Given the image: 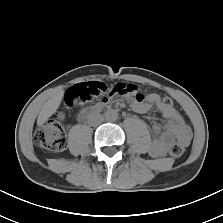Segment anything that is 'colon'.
Listing matches in <instances>:
<instances>
[{
	"mask_svg": "<svg viewBox=\"0 0 223 223\" xmlns=\"http://www.w3.org/2000/svg\"><path fill=\"white\" fill-rule=\"evenodd\" d=\"M106 91L105 84L97 81H90L79 83L71 86L65 96L66 103L72 105L75 103H83L92 100L104 94ZM110 95L112 97L129 96L138 100L143 99V94L137 84L121 82L114 85ZM165 107H172L174 105V98L172 96H165L163 99ZM64 114L58 112L46 124L39 127L34 134L35 144L43 149L53 152L62 151L67 145V137L60 120L63 119ZM171 156L175 158L181 157L185 148L181 142H174L169 147Z\"/></svg>",
	"mask_w": 223,
	"mask_h": 223,
	"instance_id": "1",
	"label": "colon"
}]
</instances>
